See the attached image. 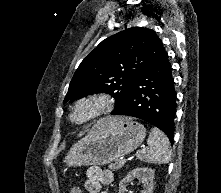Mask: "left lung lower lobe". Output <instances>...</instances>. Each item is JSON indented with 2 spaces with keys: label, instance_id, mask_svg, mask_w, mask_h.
Wrapping results in <instances>:
<instances>
[{
  "label": "left lung lower lobe",
  "instance_id": "obj_1",
  "mask_svg": "<svg viewBox=\"0 0 221 193\" xmlns=\"http://www.w3.org/2000/svg\"><path fill=\"white\" fill-rule=\"evenodd\" d=\"M176 91L165 51L133 81L125 100L111 114L142 119L162 130L173 144Z\"/></svg>",
  "mask_w": 221,
  "mask_h": 193
}]
</instances>
